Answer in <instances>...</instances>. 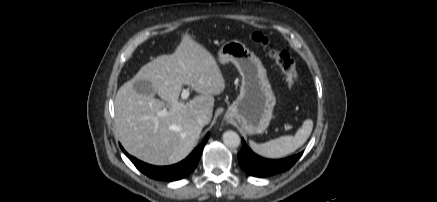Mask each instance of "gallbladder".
Wrapping results in <instances>:
<instances>
[{
    "label": "gallbladder",
    "mask_w": 437,
    "mask_h": 202,
    "mask_svg": "<svg viewBox=\"0 0 437 202\" xmlns=\"http://www.w3.org/2000/svg\"><path fill=\"white\" fill-rule=\"evenodd\" d=\"M134 90L143 95H154L155 91L149 81H136L134 83Z\"/></svg>",
    "instance_id": "obj_1"
}]
</instances>
